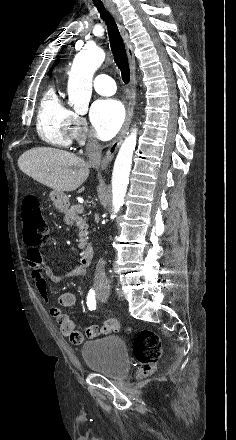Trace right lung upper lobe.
<instances>
[{
	"label": "right lung upper lobe",
	"instance_id": "cb5924a9",
	"mask_svg": "<svg viewBox=\"0 0 236 440\" xmlns=\"http://www.w3.org/2000/svg\"><path fill=\"white\" fill-rule=\"evenodd\" d=\"M58 62H59V59L56 60V62L54 63L53 67H54ZM51 70H52V68H51ZM51 70H50V71H51Z\"/></svg>",
	"mask_w": 236,
	"mask_h": 440
}]
</instances>
